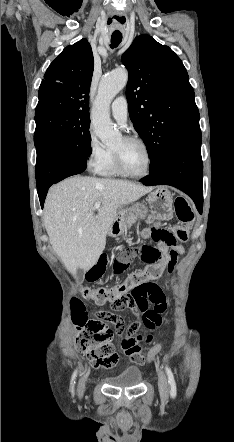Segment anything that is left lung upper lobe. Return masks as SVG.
Listing matches in <instances>:
<instances>
[{
	"instance_id": "1",
	"label": "left lung upper lobe",
	"mask_w": 234,
	"mask_h": 442,
	"mask_svg": "<svg viewBox=\"0 0 234 442\" xmlns=\"http://www.w3.org/2000/svg\"><path fill=\"white\" fill-rule=\"evenodd\" d=\"M122 58L130 119L147 147L151 172L176 139L200 128L195 94L180 58L149 35L137 36Z\"/></svg>"
}]
</instances>
